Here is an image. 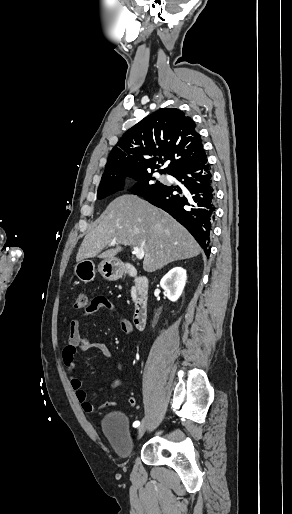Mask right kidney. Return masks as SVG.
I'll return each instance as SVG.
<instances>
[{"label": "right kidney", "instance_id": "1", "mask_svg": "<svg viewBox=\"0 0 292 514\" xmlns=\"http://www.w3.org/2000/svg\"><path fill=\"white\" fill-rule=\"evenodd\" d=\"M186 270L184 268H172L160 282L161 288L165 290L167 298L176 302L180 298L186 284Z\"/></svg>", "mask_w": 292, "mask_h": 514}]
</instances>
